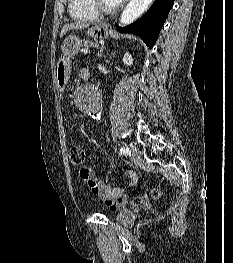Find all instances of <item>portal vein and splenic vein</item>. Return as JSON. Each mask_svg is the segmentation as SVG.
Masks as SVG:
<instances>
[{"label": "portal vein and splenic vein", "instance_id": "obj_1", "mask_svg": "<svg viewBox=\"0 0 233 263\" xmlns=\"http://www.w3.org/2000/svg\"><path fill=\"white\" fill-rule=\"evenodd\" d=\"M82 52H83L84 54H87V53H88V50H82Z\"/></svg>", "mask_w": 233, "mask_h": 263}]
</instances>
